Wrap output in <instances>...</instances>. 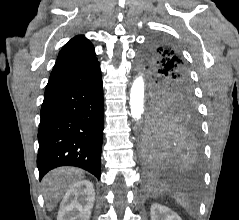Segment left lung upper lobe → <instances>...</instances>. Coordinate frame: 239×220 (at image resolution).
<instances>
[{
  "mask_svg": "<svg viewBox=\"0 0 239 220\" xmlns=\"http://www.w3.org/2000/svg\"><path fill=\"white\" fill-rule=\"evenodd\" d=\"M141 59L153 79L150 116L154 112H195L188 66L174 43L160 37L152 38Z\"/></svg>",
  "mask_w": 239,
  "mask_h": 220,
  "instance_id": "obj_1",
  "label": "left lung upper lobe"
}]
</instances>
